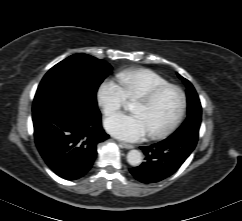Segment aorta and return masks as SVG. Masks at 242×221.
Segmentation results:
<instances>
[{
  "mask_svg": "<svg viewBox=\"0 0 242 221\" xmlns=\"http://www.w3.org/2000/svg\"><path fill=\"white\" fill-rule=\"evenodd\" d=\"M127 162L132 166H139L142 163V153L138 150H130L127 154Z\"/></svg>",
  "mask_w": 242,
  "mask_h": 221,
  "instance_id": "aorta-1",
  "label": "aorta"
}]
</instances>
